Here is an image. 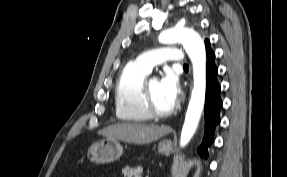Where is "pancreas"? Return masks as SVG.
I'll list each match as a JSON object with an SVG mask.
<instances>
[{
  "mask_svg": "<svg viewBox=\"0 0 287 177\" xmlns=\"http://www.w3.org/2000/svg\"><path fill=\"white\" fill-rule=\"evenodd\" d=\"M142 168H129L125 167L122 170V173L124 174V177H142Z\"/></svg>",
  "mask_w": 287,
  "mask_h": 177,
  "instance_id": "cf45deb5",
  "label": "pancreas"
}]
</instances>
